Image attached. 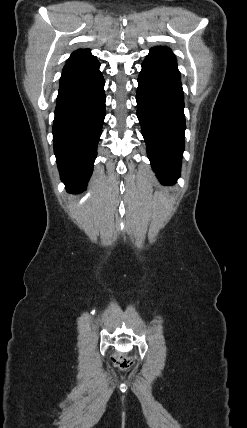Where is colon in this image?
Wrapping results in <instances>:
<instances>
[{
	"instance_id": "1",
	"label": "colon",
	"mask_w": 247,
	"mask_h": 428,
	"mask_svg": "<svg viewBox=\"0 0 247 428\" xmlns=\"http://www.w3.org/2000/svg\"><path fill=\"white\" fill-rule=\"evenodd\" d=\"M133 360L124 355H117L113 358V363L119 368H127L132 364Z\"/></svg>"
}]
</instances>
